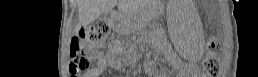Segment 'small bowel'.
<instances>
[{
    "label": "small bowel",
    "instance_id": "small-bowel-1",
    "mask_svg": "<svg viewBox=\"0 0 258 77\" xmlns=\"http://www.w3.org/2000/svg\"><path fill=\"white\" fill-rule=\"evenodd\" d=\"M112 52H110V54ZM110 54H94V57L97 59V65L90 73L96 74L100 72L108 64V57Z\"/></svg>",
    "mask_w": 258,
    "mask_h": 77
}]
</instances>
